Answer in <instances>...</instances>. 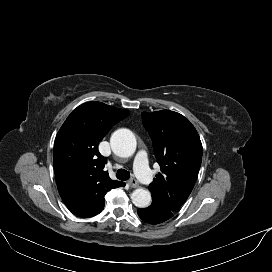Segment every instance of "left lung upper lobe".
<instances>
[{"instance_id":"left-lung-upper-lobe-1","label":"left lung upper lobe","mask_w":272,"mask_h":272,"mask_svg":"<svg viewBox=\"0 0 272 272\" xmlns=\"http://www.w3.org/2000/svg\"><path fill=\"white\" fill-rule=\"evenodd\" d=\"M142 121L161 168L149 186L152 203L173 213L194 187L202 161L200 137L188 119L170 110L143 112Z\"/></svg>"}]
</instances>
